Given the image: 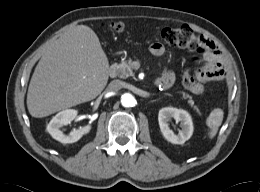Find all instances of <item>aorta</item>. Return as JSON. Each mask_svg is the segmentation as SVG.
Returning <instances> with one entry per match:
<instances>
[{
    "label": "aorta",
    "mask_w": 260,
    "mask_h": 192,
    "mask_svg": "<svg viewBox=\"0 0 260 192\" xmlns=\"http://www.w3.org/2000/svg\"><path fill=\"white\" fill-rule=\"evenodd\" d=\"M135 98L133 97L132 94L130 93H124L122 96H121V104L124 106V107H132L135 105Z\"/></svg>",
    "instance_id": "762f6f07"
}]
</instances>
